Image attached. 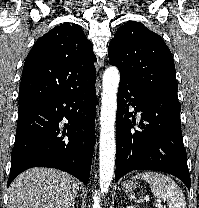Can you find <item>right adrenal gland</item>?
<instances>
[{
	"mask_svg": "<svg viewBox=\"0 0 199 208\" xmlns=\"http://www.w3.org/2000/svg\"><path fill=\"white\" fill-rule=\"evenodd\" d=\"M76 205H77V202L74 201V202L72 203V205H71V208H75Z\"/></svg>",
	"mask_w": 199,
	"mask_h": 208,
	"instance_id": "obj_1",
	"label": "right adrenal gland"
}]
</instances>
